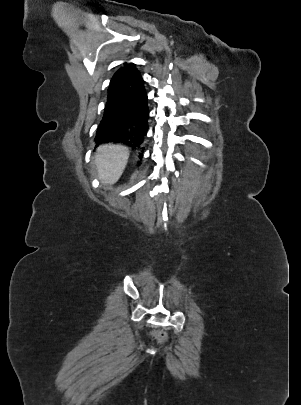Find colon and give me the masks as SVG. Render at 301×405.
Returning <instances> with one entry per match:
<instances>
[{"mask_svg":"<svg viewBox=\"0 0 301 405\" xmlns=\"http://www.w3.org/2000/svg\"><path fill=\"white\" fill-rule=\"evenodd\" d=\"M157 338H158L159 341H163L166 338V334L164 332H159L157 334Z\"/></svg>","mask_w":301,"mask_h":405,"instance_id":"colon-1","label":"colon"}]
</instances>
